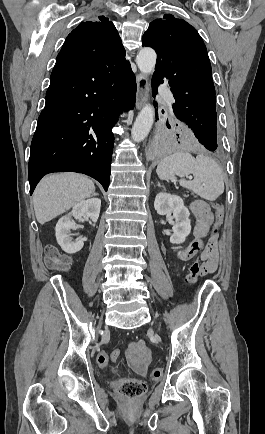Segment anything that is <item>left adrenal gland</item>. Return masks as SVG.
<instances>
[{"mask_svg": "<svg viewBox=\"0 0 265 434\" xmlns=\"http://www.w3.org/2000/svg\"><path fill=\"white\" fill-rule=\"evenodd\" d=\"M157 186H159V188H164V186H161L160 182H158ZM165 190V188H164Z\"/></svg>", "mask_w": 265, "mask_h": 434, "instance_id": "obj_1", "label": "left adrenal gland"}]
</instances>
